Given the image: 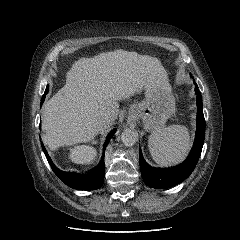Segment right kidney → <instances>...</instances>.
Wrapping results in <instances>:
<instances>
[{"label": "right kidney", "instance_id": "ca27d5eb", "mask_svg": "<svg viewBox=\"0 0 240 240\" xmlns=\"http://www.w3.org/2000/svg\"><path fill=\"white\" fill-rule=\"evenodd\" d=\"M96 157V149L91 146H75L70 151V159L76 164H90Z\"/></svg>", "mask_w": 240, "mask_h": 240}]
</instances>
